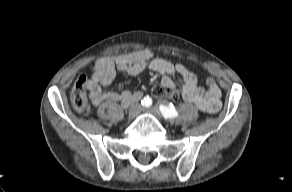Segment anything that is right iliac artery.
<instances>
[{"mask_svg":"<svg viewBox=\"0 0 292 192\" xmlns=\"http://www.w3.org/2000/svg\"><path fill=\"white\" fill-rule=\"evenodd\" d=\"M141 104L145 107H149L152 105V99L149 96H146L141 100Z\"/></svg>","mask_w":292,"mask_h":192,"instance_id":"1","label":"right iliac artery"}]
</instances>
